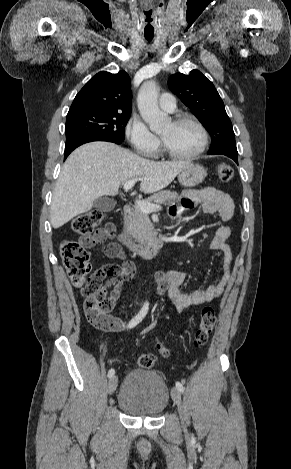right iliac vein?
Wrapping results in <instances>:
<instances>
[{
	"label": "right iliac vein",
	"mask_w": 291,
	"mask_h": 469,
	"mask_svg": "<svg viewBox=\"0 0 291 469\" xmlns=\"http://www.w3.org/2000/svg\"><path fill=\"white\" fill-rule=\"evenodd\" d=\"M117 383H118V378L117 376H112L108 382V394L109 395H112L114 393V391L116 390V387H117Z\"/></svg>",
	"instance_id": "obj_1"
}]
</instances>
